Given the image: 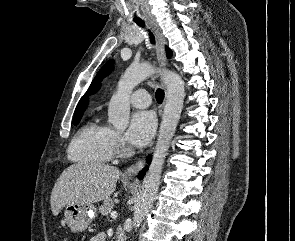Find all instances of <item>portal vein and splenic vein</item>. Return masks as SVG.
<instances>
[{"label": "portal vein and splenic vein", "mask_w": 295, "mask_h": 241, "mask_svg": "<svg viewBox=\"0 0 295 241\" xmlns=\"http://www.w3.org/2000/svg\"><path fill=\"white\" fill-rule=\"evenodd\" d=\"M110 216H111L112 218H116V217H117V213H116V212H111V213H110Z\"/></svg>", "instance_id": "18ae733b"}]
</instances>
